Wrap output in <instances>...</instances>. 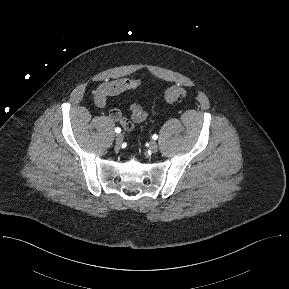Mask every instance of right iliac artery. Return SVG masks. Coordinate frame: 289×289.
Listing matches in <instances>:
<instances>
[{
  "instance_id": "1",
  "label": "right iliac artery",
  "mask_w": 289,
  "mask_h": 289,
  "mask_svg": "<svg viewBox=\"0 0 289 289\" xmlns=\"http://www.w3.org/2000/svg\"><path fill=\"white\" fill-rule=\"evenodd\" d=\"M115 132H116V133H120V132H121V128L117 127V128L115 129Z\"/></svg>"
}]
</instances>
